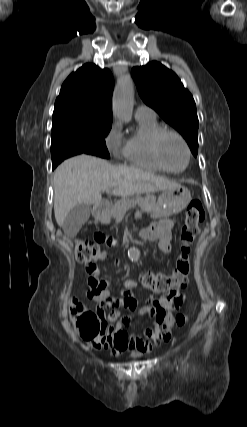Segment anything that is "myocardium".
<instances>
[{"instance_id": "obj_1", "label": "myocardium", "mask_w": 247, "mask_h": 427, "mask_svg": "<svg viewBox=\"0 0 247 427\" xmlns=\"http://www.w3.org/2000/svg\"><path fill=\"white\" fill-rule=\"evenodd\" d=\"M168 135L176 137L184 146L186 154H187V160H186L185 166L179 170H175V169L170 168L165 163L163 156H162L161 144H162L163 139ZM152 149H153V154H154L155 159L157 160L159 165L167 172H171V173L183 172L188 167L190 160H191V150H190V147H189L186 139L183 137V135L181 133H179L178 131L173 130V129L163 128L162 130H160L155 135V137L153 139Z\"/></svg>"}]
</instances>
